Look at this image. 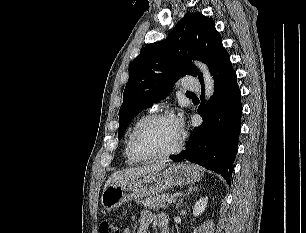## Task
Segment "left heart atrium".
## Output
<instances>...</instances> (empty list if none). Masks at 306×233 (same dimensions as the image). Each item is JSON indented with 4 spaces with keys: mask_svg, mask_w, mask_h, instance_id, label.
I'll use <instances>...</instances> for the list:
<instances>
[{
    "mask_svg": "<svg viewBox=\"0 0 306 233\" xmlns=\"http://www.w3.org/2000/svg\"><path fill=\"white\" fill-rule=\"evenodd\" d=\"M173 121L175 123L176 128L181 133L183 130V118L180 115L174 116Z\"/></svg>",
    "mask_w": 306,
    "mask_h": 233,
    "instance_id": "1",
    "label": "left heart atrium"
}]
</instances>
